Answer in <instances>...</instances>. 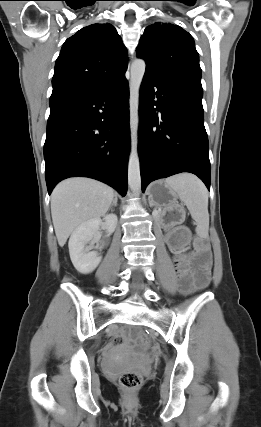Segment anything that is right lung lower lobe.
I'll use <instances>...</instances> for the list:
<instances>
[{"label": "right lung lower lobe", "instance_id": "right-lung-lower-lobe-1", "mask_svg": "<svg viewBox=\"0 0 261 427\" xmlns=\"http://www.w3.org/2000/svg\"><path fill=\"white\" fill-rule=\"evenodd\" d=\"M129 147L125 77L105 89L51 107L44 144L49 194L61 180L84 176L125 196Z\"/></svg>", "mask_w": 261, "mask_h": 427}]
</instances>
